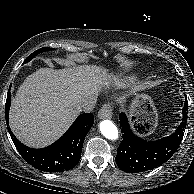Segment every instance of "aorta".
Instances as JSON below:
<instances>
[{
  "mask_svg": "<svg viewBox=\"0 0 194 194\" xmlns=\"http://www.w3.org/2000/svg\"><path fill=\"white\" fill-rule=\"evenodd\" d=\"M99 128L103 136L110 140H116L119 136L116 125L110 120H103L99 124Z\"/></svg>",
  "mask_w": 194,
  "mask_h": 194,
  "instance_id": "aorta-1",
  "label": "aorta"
}]
</instances>
